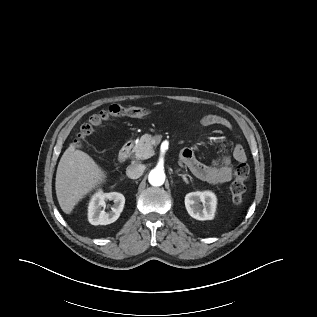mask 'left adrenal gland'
<instances>
[{
  "label": "left adrenal gland",
  "instance_id": "1",
  "mask_svg": "<svg viewBox=\"0 0 317 317\" xmlns=\"http://www.w3.org/2000/svg\"><path fill=\"white\" fill-rule=\"evenodd\" d=\"M181 167H183V165H180ZM179 171H181V169H178L176 172L178 173Z\"/></svg>",
  "mask_w": 317,
  "mask_h": 317
}]
</instances>
